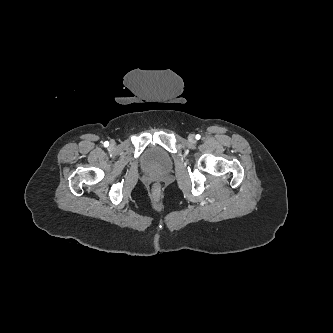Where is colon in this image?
Instances as JSON below:
<instances>
[{"mask_svg":"<svg viewBox=\"0 0 333 333\" xmlns=\"http://www.w3.org/2000/svg\"><path fill=\"white\" fill-rule=\"evenodd\" d=\"M153 190L156 191V192H160L161 190V186L159 183H156L153 185Z\"/></svg>","mask_w":333,"mask_h":333,"instance_id":"5ec220e1","label":"colon"}]
</instances>
